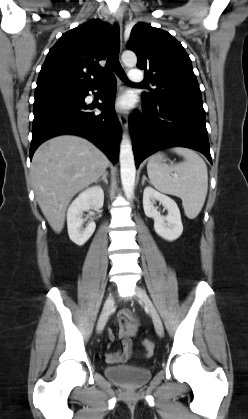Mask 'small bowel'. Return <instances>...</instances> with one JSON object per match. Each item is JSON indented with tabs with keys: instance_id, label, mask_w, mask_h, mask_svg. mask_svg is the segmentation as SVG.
Instances as JSON below:
<instances>
[{
	"instance_id": "obj_1",
	"label": "small bowel",
	"mask_w": 248,
	"mask_h": 419,
	"mask_svg": "<svg viewBox=\"0 0 248 419\" xmlns=\"http://www.w3.org/2000/svg\"><path fill=\"white\" fill-rule=\"evenodd\" d=\"M119 330L118 337L122 342V349L118 352H109L105 358L108 363H124L132 356L134 352L133 338L138 330V321L130 309H122L117 315ZM107 338L110 341L115 339V334L107 331Z\"/></svg>"
}]
</instances>
